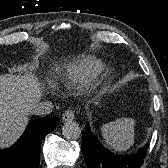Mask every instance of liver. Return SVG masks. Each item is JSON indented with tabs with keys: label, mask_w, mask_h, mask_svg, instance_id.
<instances>
[{
	"label": "liver",
	"mask_w": 168,
	"mask_h": 168,
	"mask_svg": "<svg viewBox=\"0 0 168 168\" xmlns=\"http://www.w3.org/2000/svg\"><path fill=\"white\" fill-rule=\"evenodd\" d=\"M42 96L33 74L0 75V148L9 147L23 133L32 107Z\"/></svg>",
	"instance_id": "1"
}]
</instances>
